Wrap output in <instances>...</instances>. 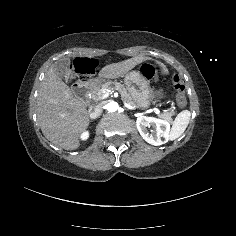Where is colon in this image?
Instances as JSON below:
<instances>
[{"mask_svg": "<svg viewBox=\"0 0 236 236\" xmlns=\"http://www.w3.org/2000/svg\"><path fill=\"white\" fill-rule=\"evenodd\" d=\"M90 68V65L81 62L76 67V71L85 72ZM142 74L148 79H158L159 78V67L155 64L146 63L141 67ZM171 82L176 90V101L180 107H184L187 103L185 94V85L181 78L177 74H172L170 77Z\"/></svg>", "mask_w": 236, "mask_h": 236, "instance_id": "colon-1", "label": "colon"}]
</instances>
